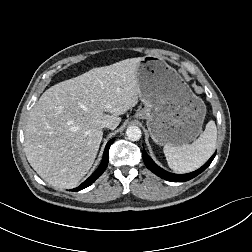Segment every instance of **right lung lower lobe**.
Masks as SVG:
<instances>
[{
	"label": "right lung lower lobe",
	"mask_w": 252,
	"mask_h": 252,
	"mask_svg": "<svg viewBox=\"0 0 252 252\" xmlns=\"http://www.w3.org/2000/svg\"><path fill=\"white\" fill-rule=\"evenodd\" d=\"M114 140L115 139H111L107 143L105 150H104L102 162H101L100 166L97 168V170L86 181H84L80 186L72 189V191H79V190H82V189L90 186L105 171V169L108 165L109 148H110L111 144L114 142Z\"/></svg>",
	"instance_id": "1"
}]
</instances>
